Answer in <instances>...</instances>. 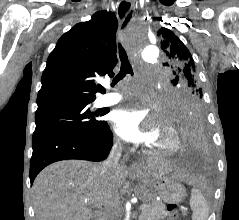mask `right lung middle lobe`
<instances>
[{
  "mask_svg": "<svg viewBox=\"0 0 239 220\" xmlns=\"http://www.w3.org/2000/svg\"><path fill=\"white\" fill-rule=\"evenodd\" d=\"M88 104L57 105L39 108L36 111L34 132L63 130L78 133H97L107 124L97 117L105 113L101 110L91 112Z\"/></svg>",
  "mask_w": 239,
  "mask_h": 220,
  "instance_id": "dd1d6c3e",
  "label": "right lung middle lobe"
}]
</instances>
